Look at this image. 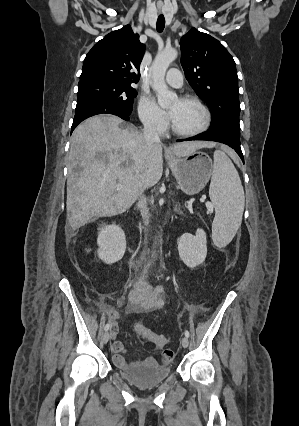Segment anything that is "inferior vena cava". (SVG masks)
<instances>
[{
  "label": "inferior vena cava",
  "instance_id": "1",
  "mask_svg": "<svg viewBox=\"0 0 299 426\" xmlns=\"http://www.w3.org/2000/svg\"><path fill=\"white\" fill-rule=\"evenodd\" d=\"M143 137H144L148 146L160 143V138H159V135H158V132H157V127L151 121H147V122L144 123ZM137 206L140 209V214L143 218L144 224L146 226H148L149 225V210H148V207H147V199L144 195V190H142L140 192Z\"/></svg>",
  "mask_w": 299,
  "mask_h": 426
}]
</instances>
